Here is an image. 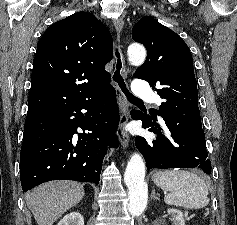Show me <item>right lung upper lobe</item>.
<instances>
[{"label":"right lung upper lobe","instance_id":"obj_1","mask_svg":"<svg viewBox=\"0 0 237 225\" xmlns=\"http://www.w3.org/2000/svg\"><path fill=\"white\" fill-rule=\"evenodd\" d=\"M112 36L93 14L75 13L47 28L37 44L28 111L64 105L109 85ZM86 80V82H84Z\"/></svg>","mask_w":237,"mask_h":225}]
</instances>
